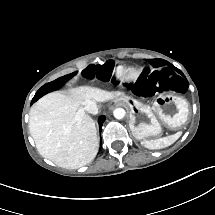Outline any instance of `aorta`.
Segmentation results:
<instances>
[{
    "label": "aorta",
    "instance_id": "obj_1",
    "mask_svg": "<svg viewBox=\"0 0 215 215\" xmlns=\"http://www.w3.org/2000/svg\"><path fill=\"white\" fill-rule=\"evenodd\" d=\"M126 112L123 108H116L113 111V115L116 119H122L125 116Z\"/></svg>",
    "mask_w": 215,
    "mask_h": 215
}]
</instances>
